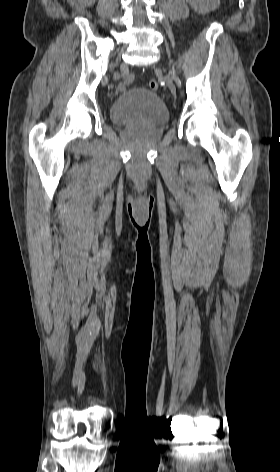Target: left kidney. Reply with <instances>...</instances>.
Returning <instances> with one entry per match:
<instances>
[{
    "label": "left kidney",
    "mask_w": 280,
    "mask_h": 472,
    "mask_svg": "<svg viewBox=\"0 0 280 472\" xmlns=\"http://www.w3.org/2000/svg\"><path fill=\"white\" fill-rule=\"evenodd\" d=\"M188 3L199 12H208L217 7V4L214 3L216 0H187Z\"/></svg>",
    "instance_id": "1"
}]
</instances>
